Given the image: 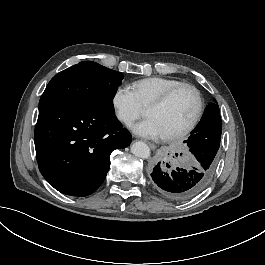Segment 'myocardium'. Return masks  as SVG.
<instances>
[{"mask_svg":"<svg viewBox=\"0 0 265 265\" xmlns=\"http://www.w3.org/2000/svg\"><path fill=\"white\" fill-rule=\"evenodd\" d=\"M184 90L191 91L196 98L197 108H196L195 115H194L193 119L191 120V122L184 129H182L181 131H179L177 133H173V134L165 136L164 137L165 140H171L172 141V140H178V139L185 138L196 128V126L198 125L199 121L201 120L203 112H204V102H203L201 92L194 85L184 83V84L177 86V87L171 89L170 91H168L166 94H164L162 97H160L157 101H155L154 103L149 105L146 109V111H148V110L163 108L177 94H179L180 92H182Z\"/></svg>","mask_w":265,"mask_h":265,"instance_id":"f54148a6","label":"myocardium"}]
</instances>
